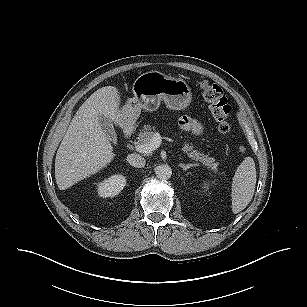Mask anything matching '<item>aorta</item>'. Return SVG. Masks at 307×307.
<instances>
[{"instance_id":"1","label":"aorta","mask_w":307,"mask_h":307,"mask_svg":"<svg viewBox=\"0 0 307 307\" xmlns=\"http://www.w3.org/2000/svg\"><path fill=\"white\" fill-rule=\"evenodd\" d=\"M172 175V169L169 165L163 164L156 168V176L160 180H168Z\"/></svg>"}]
</instances>
